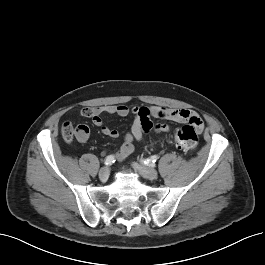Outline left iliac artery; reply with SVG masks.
Wrapping results in <instances>:
<instances>
[{
  "instance_id": "1",
  "label": "left iliac artery",
  "mask_w": 265,
  "mask_h": 265,
  "mask_svg": "<svg viewBox=\"0 0 265 265\" xmlns=\"http://www.w3.org/2000/svg\"><path fill=\"white\" fill-rule=\"evenodd\" d=\"M159 159L158 155L151 156L150 158L143 159L141 162L147 166H155V162Z\"/></svg>"
}]
</instances>
